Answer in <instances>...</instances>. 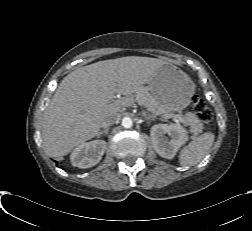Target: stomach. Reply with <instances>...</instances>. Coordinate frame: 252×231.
Masks as SVG:
<instances>
[{"label":"stomach","mask_w":252,"mask_h":231,"mask_svg":"<svg viewBox=\"0 0 252 231\" xmlns=\"http://www.w3.org/2000/svg\"><path fill=\"white\" fill-rule=\"evenodd\" d=\"M148 90L164 112L174 113L190 104L195 84L182 70L165 63L149 79Z\"/></svg>","instance_id":"1"}]
</instances>
